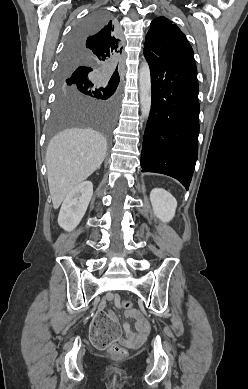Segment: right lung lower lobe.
Wrapping results in <instances>:
<instances>
[{
    "label": "right lung lower lobe",
    "mask_w": 248,
    "mask_h": 389,
    "mask_svg": "<svg viewBox=\"0 0 248 389\" xmlns=\"http://www.w3.org/2000/svg\"><path fill=\"white\" fill-rule=\"evenodd\" d=\"M82 38H78V39H75L73 42L75 44L79 43L81 41ZM64 53H66L68 55V59L69 57H73V48H65L64 50ZM63 53V54H64ZM68 59H66L65 61H68ZM83 73H86L85 70L83 69H76L73 73H72V76H78L79 74H83ZM119 80V79H118Z\"/></svg>",
    "instance_id": "obj_1"
}]
</instances>
